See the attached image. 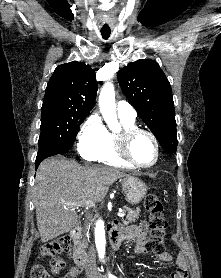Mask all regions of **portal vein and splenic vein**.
I'll return each instance as SVG.
<instances>
[{"label":"portal vein and splenic vein","mask_w":221,"mask_h":278,"mask_svg":"<svg viewBox=\"0 0 221 278\" xmlns=\"http://www.w3.org/2000/svg\"><path fill=\"white\" fill-rule=\"evenodd\" d=\"M73 207L78 208L80 206H86V207H95V203L89 199L83 200L81 202H79L78 204H71ZM117 215L119 217H124L125 213L122 212L121 210H119V212H117Z\"/></svg>","instance_id":"portal-vein-and-splenic-vein-1"}]
</instances>
